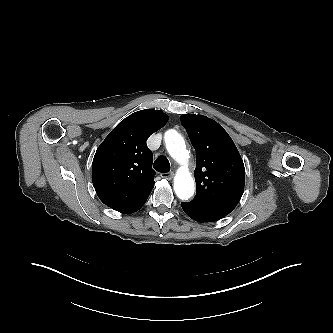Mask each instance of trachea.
Segmentation results:
<instances>
[{"instance_id":"trachea-1","label":"trachea","mask_w":333,"mask_h":333,"mask_svg":"<svg viewBox=\"0 0 333 333\" xmlns=\"http://www.w3.org/2000/svg\"><path fill=\"white\" fill-rule=\"evenodd\" d=\"M153 167L156 171L160 173H168L170 171V163L165 156H159L155 160Z\"/></svg>"}]
</instances>
